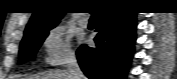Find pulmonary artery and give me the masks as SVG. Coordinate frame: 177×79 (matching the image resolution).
Instances as JSON below:
<instances>
[{
    "instance_id": "e3ab8cb5",
    "label": "pulmonary artery",
    "mask_w": 177,
    "mask_h": 79,
    "mask_svg": "<svg viewBox=\"0 0 177 79\" xmlns=\"http://www.w3.org/2000/svg\"><path fill=\"white\" fill-rule=\"evenodd\" d=\"M88 23H89V19H88L87 16L81 17V18L79 19V25H80L81 27H87Z\"/></svg>"
}]
</instances>
